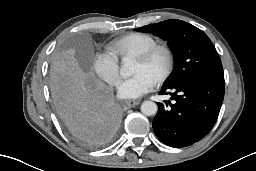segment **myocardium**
Returning <instances> with one entry per match:
<instances>
[{
	"label": "myocardium",
	"mask_w": 256,
	"mask_h": 171,
	"mask_svg": "<svg viewBox=\"0 0 256 171\" xmlns=\"http://www.w3.org/2000/svg\"><path fill=\"white\" fill-rule=\"evenodd\" d=\"M157 57H162L164 60V67L161 73L157 76L154 83L156 85L163 84L171 75L174 68V56L172 51L164 45H156L144 52L135 56V58L143 63H150Z\"/></svg>",
	"instance_id": "1"
}]
</instances>
